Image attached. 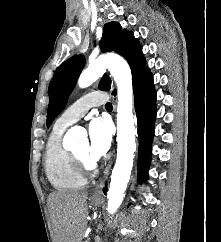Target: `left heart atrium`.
I'll return each instance as SVG.
<instances>
[{
  "mask_svg": "<svg viewBox=\"0 0 221 242\" xmlns=\"http://www.w3.org/2000/svg\"><path fill=\"white\" fill-rule=\"evenodd\" d=\"M88 134V156L91 161H97L110 148L112 140L111 128L105 120L95 118L88 125Z\"/></svg>",
  "mask_w": 221,
  "mask_h": 242,
  "instance_id": "39dd6f15",
  "label": "left heart atrium"
}]
</instances>
